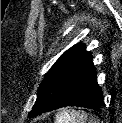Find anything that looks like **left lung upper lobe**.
I'll list each match as a JSON object with an SVG mask.
<instances>
[{"label":"left lung upper lobe","instance_id":"left-lung-upper-lobe-1","mask_svg":"<svg viewBox=\"0 0 122 123\" xmlns=\"http://www.w3.org/2000/svg\"><path fill=\"white\" fill-rule=\"evenodd\" d=\"M92 60L84 44H76L64 52L41 82L36 102L29 113L35 117L46 112L63 94L71 80Z\"/></svg>","mask_w":122,"mask_h":123}]
</instances>
